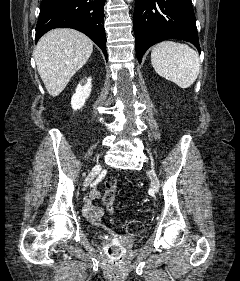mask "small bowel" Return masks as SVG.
<instances>
[{
    "label": "small bowel",
    "mask_w": 240,
    "mask_h": 281,
    "mask_svg": "<svg viewBox=\"0 0 240 281\" xmlns=\"http://www.w3.org/2000/svg\"><path fill=\"white\" fill-rule=\"evenodd\" d=\"M100 197L97 191H91L84 201L83 215L93 225H98L104 215V209L100 206L93 205L92 201Z\"/></svg>",
    "instance_id": "obj_1"
}]
</instances>
